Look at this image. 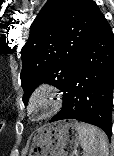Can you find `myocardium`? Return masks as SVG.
Masks as SVG:
<instances>
[{
  "mask_svg": "<svg viewBox=\"0 0 114 156\" xmlns=\"http://www.w3.org/2000/svg\"><path fill=\"white\" fill-rule=\"evenodd\" d=\"M63 104L59 89L49 83L38 84L26 102V113L32 121H40L55 114Z\"/></svg>",
  "mask_w": 114,
  "mask_h": 156,
  "instance_id": "f54148a6",
  "label": "myocardium"
}]
</instances>
